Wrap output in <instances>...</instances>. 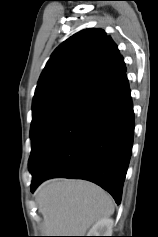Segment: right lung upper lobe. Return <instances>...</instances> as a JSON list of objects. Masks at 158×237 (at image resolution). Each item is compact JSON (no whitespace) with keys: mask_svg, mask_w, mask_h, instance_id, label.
<instances>
[{"mask_svg":"<svg viewBox=\"0 0 158 237\" xmlns=\"http://www.w3.org/2000/svg\"><path fill=\"white\" fill-rule=\"evenodd\" d=\"M125 72L118 47L104 30H81L51 55L39 78L33 105L61 96L85 102Z\"/></svg>","mask_w":158,"mask_h":237,"instance_id":"obj_1","label":"right lung upper lobe"}]
</instances>
